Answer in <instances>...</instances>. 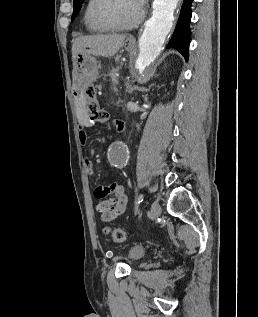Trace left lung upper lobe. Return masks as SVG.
<instances>
[{
  "label": "left lung upper lobe",
  "instance_id": "obj_1",
  "mask_svg": "<svg viewBox=\"0 0 258 317\" xmlns=\"http://www.w3.org/2000/svg\"><path fill=\"white\" fill-rule=\"evenodd\" d=\"M83 2H84V0H73L74 10H73V14H72V20H74L75 17L77 16V14L79 13Z\"/></svg>",
  "mask_w": 258,
  "mask_h": 317
}]
</instances>
